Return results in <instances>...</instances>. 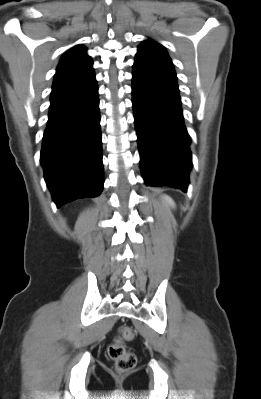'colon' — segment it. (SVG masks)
<instances>
[{
  "label": "colon",
  "instance_id": "colon-1",
  "mask_svg": "<svg viewBox=\"0 0 261 399\" xmlns=\"http://www.w3.org/2000/svg\"><path fill=\"white\" fill-rule=\"evenodd\" d=\"M134 336L132 327L122 326L119 329V335L108 347V355L115 362V367L119 372L129 371L136 365V355L123 344L132 341Z\"/></svg>",
  "mask_w": 261,
  "mask_h": 399
}]
</instances>
